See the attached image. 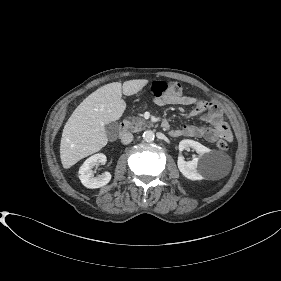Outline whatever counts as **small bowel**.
I'll list each match as a JSON object with an SVG mask.
<instances>
[{"label": "small bowel", "instance_id": "small-bowel-1", "mask_svg": "<svg viewBox=\"0 0 281 281\" xmlns=\"http://www.w3.org/2000/svg\"><path fill=\"white\" fill-rule=\"evenodd\" d=\"M155 103L160 106H193L190 116H201V120L211 126L184 125L178 129L170 130L173 137L202 138L208 142H215L218 138L232 139V133L223 118L217 103L213 100H199L192 96L176 95L157 98ZM167 122V121H166ZM168 123V122H167ZM168 127L166 129H169Z\"/></svg>", "mask_w": 281, "mask_h": 281}]
</instances>
